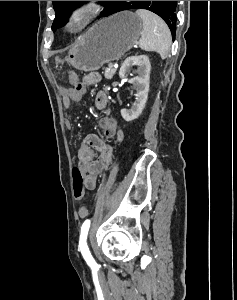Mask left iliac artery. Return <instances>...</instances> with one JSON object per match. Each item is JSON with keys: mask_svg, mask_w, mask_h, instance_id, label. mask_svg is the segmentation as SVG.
<instances>
[{"mask_svg": "<svg viewBox=\"0 0 237 300\" xmlns=\"http://www.w3.org/2000/svg\"><path fill=\"white\" fill-rule=\"evenodd\" d=\"M90 228V220H86L82 227H81V234H80V240H79V248L80 251L83 255V258L85 259V261L87 262V264L91 267L94 268L97 266V263L95 262L94 258L92 257L89 248L87 246V235H88V231Z\"/></svg>", "mask_w": 237, "mask_h": 300, "instance_id": "1", "label": "left iliac artery"}]
</instances>
